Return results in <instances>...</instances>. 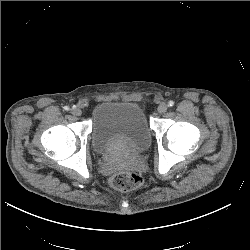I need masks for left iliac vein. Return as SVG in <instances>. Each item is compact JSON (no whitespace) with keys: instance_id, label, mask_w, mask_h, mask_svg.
Here are the masks:
<instances>
[{"instance_id":"4c4485c4","label":"left iliac vein","mask_w":250,"mask_h":250,"mask_svg":"<svg viewBox=\"0 0 250 250\" xmlns=\"http://www.w3.org/2000/svg\"><path fill=\"white\" fill-rule=\"evenodd\" d=\"M168 106L165 103H162L158 106L157 111L159 113H165L167 111Z\"/></svg>"}]
</instances>
